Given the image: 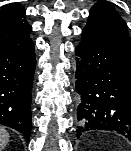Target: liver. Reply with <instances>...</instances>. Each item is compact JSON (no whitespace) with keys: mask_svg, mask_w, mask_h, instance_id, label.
<instances>
[{"mask_svg":"<svg viewBox=\"0 0 131 151\" xmlns=\"http://www.w3.org/2000/svg\"><path fill=\"white\" fill-rule=\"evenodd\" d=\"M8 141H9L8 132L4 128L0 127V151H2L5 148Z\"/></svg>","mask_w":131,"mask_h":151,"instance_id":"1","label":"liver"}]
</instances>
